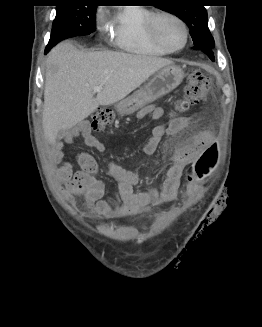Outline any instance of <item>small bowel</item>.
<instances>
[{"mask_svg": "<svg viewBox=\"0 0 262 327\" xmlns=\"http://www.w3.org/2000/svg\"><path fill=\"white\" fill-rule=\"evenodd\" d=\"M164 110L161 107L151 105L141 109L137 118L148 117L152 120L161 119ZM190 120L187 117H180L169 120L165 124L155 127L143 146V151L147 155H152L161 139L165 136H175L189 126ZM76 136H81L86 145L94 147L99 152L105 150L102 142L97 140L91 133V127L87 122L79 123L74 129L68 132L64 138L66 143H70ZM212 136L207 132H199L184 140L175 150L169 162L166 177L159 187L136 192L134 187L140 181V174L135 170L123 168L115 162L108 164V171L111 177L117 182L115 194L104 199V183L96 176L98 166L95 159L88 153L82 152L78 155L77 161L80 166L78 171L73 170L70 162L63 161L64 153L58 148L53 154V161L59 166L56 169L57 180L64 185V194L70 202H74V197H81L85 211L91 216L104 218H117L136 215L152 205L173 201L178 194L184 170L191 171L192 165L196 164L195 154L205 153V148H209ZM157 165V161H153ZM185 184L188 199H199L194 203L199 206L205 205L202 192H197V184L191 183L195 180V173H186Z\"/></svg>", "mask_w": 262, "mask_h": 327, "instance_id": "small-bowel-1", "label": "small bowel"}]
</instances>
